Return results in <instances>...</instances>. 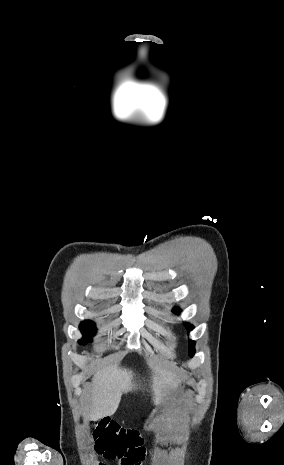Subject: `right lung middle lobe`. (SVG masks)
<instances>
[{"instance_id": "obj_1", "label": "right lung middle lobe", "mask_w": 284, "mask_h": 465, "mask_svg": "<svg viewBox=\"0 0 284 465\" xmlns=\"http://www.w3.org/2000/svg\"><path fill=\"white\" fill-rule=\"evenodd\" d=\"M79 328L83 334V338L78 342L80 344H86L88 342H91V338L96 332L95 324L91 321H83L80 324Z\"/></svg>"}]
</instances>
